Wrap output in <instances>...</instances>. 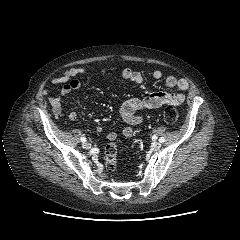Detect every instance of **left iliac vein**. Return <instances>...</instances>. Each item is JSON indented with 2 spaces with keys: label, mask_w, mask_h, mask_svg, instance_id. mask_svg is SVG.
<instances>
[{
  "label": "left iliac vein",
  "mask_w": 240,
  "mask_h": 240,
  "mask_svg": "<svg viewBox=\"0 0 240 240\" xmlns=\"http://www.w3.org/2000/svg\"><path fill=\"white\" fill-rule=\"evenodd\" d=\"M152 148H153L154 150L160 149V148H161V143H160V142H157V141L153 142V143H152Z\"/></svg>",
  "instance_id": "obj_1"
}]
</instances>
